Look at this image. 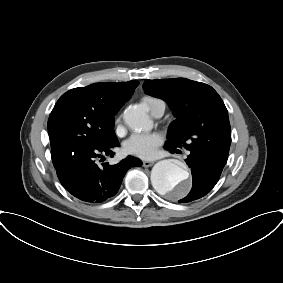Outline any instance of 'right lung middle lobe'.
<instances>
[{
  "label": "right lung middle lobe",
  "mask_w": 283,
  "mask_h": 283,
  "mask_svg": "<svg viewBox=\"0 0 283 283\" xmlns=\"http://www.w3.org/2000/svg\"><path fill=\"white\" fill-rule=\"evenodd\" d=\"M113 127L114 118H103L70 90L49 116L51 154L73 152L81 146L109 147L118 141Z\"/></svg>",
  "instance_id": "dd1d6c3e"
}]
</instances>
